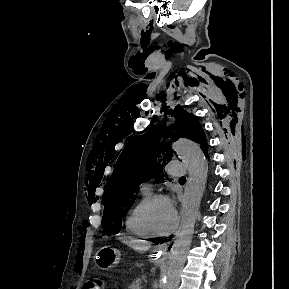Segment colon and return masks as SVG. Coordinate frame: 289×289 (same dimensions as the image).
<instances>
[{"instance_id":"colon-1","label":"colon","mask_w":289,"mask_h":289,"mask_svg":"<svg viewBox=\"0 0 289 289\" xmlns=\"http://www.w3.org/2000/svg\"><path fill=\"white\" fill-rule=\"evenodd\" d=\"M85 289H104L102 284L96 280L89 281Z\"/></svg>"}]
</instances>
